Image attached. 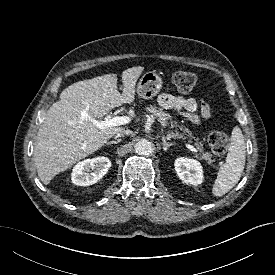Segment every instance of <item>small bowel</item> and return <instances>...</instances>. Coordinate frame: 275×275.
<instances>
[{"label": "small bowel", "mask_w": 275, "mask_h": 275, "mask_svg": "<svg viewBox=\"0 0 275 275\" xmlns=\"http://www.w3.org/2000/svg\"><path fill=\"white\" fill-rule=\"evenodd\" d=\"M158 104L165 109H173L193 124H200L211 115L209 105L204 100L185 98L163 93L157 98Z\"/></svg>", "instance_id": "small-bowel-1"}]
</instances>
